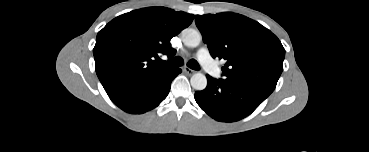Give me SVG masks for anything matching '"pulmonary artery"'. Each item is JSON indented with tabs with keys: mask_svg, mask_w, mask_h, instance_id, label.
I'll list each match as a JSON object with an SVG mask.
<instances>
[{
	"mask_svg": "<svg viewBox=\"0 0 369 152\" xmlns=\"http://www.w3.org/2000/svg\"><path fill=\"white\" fill-rule=\"evenodd\" d=\"M198 59L204 69L213 77H218L220 74L219 68L210 56L208 49L201 48L198 51Z\"/></svg>",
	"mask_w": 369,
	"mask_h": 152,
	"instance_id": "obj_1",
	"label": "pulmonary artery"
}]
</instances>
